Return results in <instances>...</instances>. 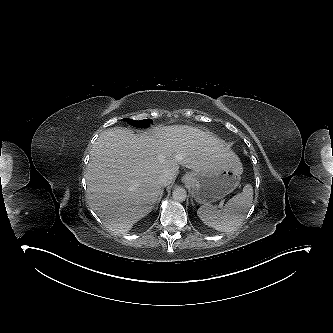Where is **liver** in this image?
Instances as JSON below:
<instances>
[{
    "label": "liver",
    "mask_w": 333,
    "mask_h": 333,
    "mask_svg": "<svg viewBox=\"0 0 333 333\" xmlns=\"http://www.w3.org/2000/svg\"><path fill=\"white\" fill-rule=\"evenodd\" d=\"M237 161L223 141L191 126L155 127L140 135L109 128L91 151L89 205L109 230L124 234L154 208L162 194L157 179L163 171L175 179L179 165L201 172Z\"/></svg>",
    "instance_id": "1"
}]
</instances>
